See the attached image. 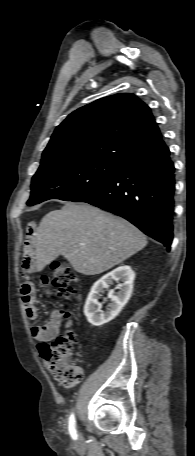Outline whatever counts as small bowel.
Wrapping results in <instances>:
<instances>
[{
	"instance_id": "1",
	"label": "small bowel",
	"mask_w": 195,
	"mask_h": 456,
	"mask_svg": "<svg viewBox=\"0 0 195 456\" xmlns=\"http://www.w3.org/2000/svg\"><path fill=\"white\" fill-rule=\"evenodd\" d=\"M37 240L36 227L34 223H29L26 228V237L24 241L23 256H22V273L28 278L34 268L35 255L34 246ZM39 285L42 288H46L48 285V278L42 276L39 280ZM21 299L25 309V314L29 320H35L38 316V310L36 307V296L34 285L26 281L21 288ZM59 310H56L51 319L43 325L33 326L31 328V334L34 339L47 342L54 339L61 329V319ZM70 322L66 323L69 326Z\"/></svg>"
}]
</instances>
